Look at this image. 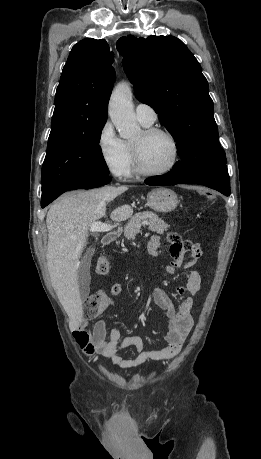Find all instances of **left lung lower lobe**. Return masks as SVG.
Listing matches in <instances>:
<instances>
[{
	"label": "left lung lower lobe",
	"instance_id": "1",
	"mask_svg": "<svg viewBox=\"0 0 261 459\" xmlns=\"http://www.w3.org/2000/svg\"><path fill=\"white\" fill-rule=\"evenodd\" d=\"M145 183L155 186L196 183L215 189L226 196L230 195V182L226 165L204 167L189 174H182L172 169L166 175L148 178Z\"/></svg>",
	"mask_w": 261,
	"mask_h": 459
}]
</instances>
